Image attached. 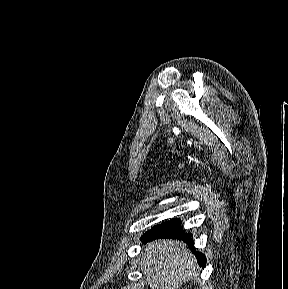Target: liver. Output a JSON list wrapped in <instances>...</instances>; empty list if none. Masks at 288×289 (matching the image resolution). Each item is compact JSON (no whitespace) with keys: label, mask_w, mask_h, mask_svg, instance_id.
<instances>
[{"label":"liver","mask_w":288,"mask_h":289,"mask_svg":"<svg viewBox=\"0 0 288 289\" xmlns=\"http://www.w3.org/2000/svg\"><path fill=\"white\" fill-rule=\"evenodd\" d=\"M141 260V271L151 289H177L198 274L196 257L177 240L148 243Z\"/></svg>","instance_id":"liver-1"}]
</instances>
